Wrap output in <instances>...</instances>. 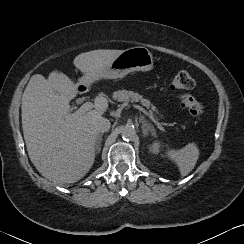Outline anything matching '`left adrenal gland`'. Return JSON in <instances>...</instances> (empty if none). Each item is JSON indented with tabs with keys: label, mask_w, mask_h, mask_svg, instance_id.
Here are the masks:
<instances>
[{
	"label": "left adrenal gland",
	"mask_w": 244,
	"mask_h": 244,
	"mask_svg": "<svg viewBox=\"0 0 244 244\" xmlns=\"http://www.w3.org/2000/svg\"><path fill=\"white\" fill-rule=\"evenodd\" d=\"M139 122L142 124V133L144 136H147L149 134V131L152 135H155V129L148 123L147 120L143 116L139 117Z\"/></svg>",
	"instance_id": "obj_1"
}]
</instances>
